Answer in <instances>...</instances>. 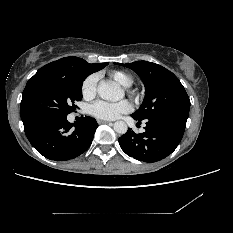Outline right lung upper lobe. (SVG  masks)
Returning a JSON list of instances; mask_svg holds the SVG:
<instances>
[{
    "mask_svg": "<svg viewBox=\"0 0 233 233\" xmlns=\"http://www.w3.org/2000/svg\"><path fill=\"white\" fill-rule=\"evenodd\" d=\"M104 63L99 64H89L82 58L78 57H65L62 59H59L57 61L51 62L42 68H40L37 73L28 81L24 91H23V97L22 101L31 86V84L36 81L38 78L43 76H75L83 72H96L103 66ZM91 73V74H92ZM22 101H21V119L24 124V128L30 126L32 123H30L22 110Z\"/></svg>",
    "mask_w": 233,
    "mask_h": 233,
    "instance_id": "right-lung-upper-lobe-1",
    "label": "right lung upper lobe"
}]
</instances>
